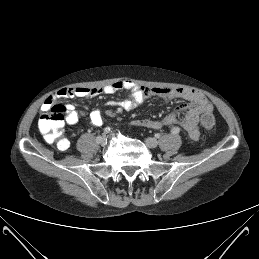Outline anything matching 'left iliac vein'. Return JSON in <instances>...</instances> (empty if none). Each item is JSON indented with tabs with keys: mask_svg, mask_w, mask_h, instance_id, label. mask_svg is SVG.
<instances>
[{
	"mask_svg": "<svg viewBox=\"0 0 259 259\" xmlns=\"http://www.w3.org/2000/svg\"><path fill=\"white\" fill-rule=\"evenodd\" d=\"M145 144L149 148H156L158 146V141L155 138H146Z\"/></svg>",
	"mask_w": 259,
	"mask_h": 259,
	"instance_id": "obj_1",
	"label": "left iliac vein"
}]
</instances>
